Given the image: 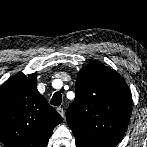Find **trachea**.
Listing matches in <instances>:
<instances>
[{
  "mask_svg": "<svg viewBox=\"0 0 147 147\" xmlns=\"http://www.w3.org/2000/svg\"><path fill=\"white\" fill-rule=\"evenodd\" d=\"M62 103V95L60 92H55L50 104L54 105V106H59Z\"/></svg>",
  "mask_w": 147,
  "mask_h": 147,
  "instance_id": "3493384b",
  "label": "trachea"
}]
</instances>
